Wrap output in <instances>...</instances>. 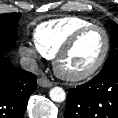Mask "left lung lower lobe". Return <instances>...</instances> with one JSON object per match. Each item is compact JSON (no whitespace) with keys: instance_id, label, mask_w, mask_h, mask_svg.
Listing matches in <instances>:
<instances>
[{"instance_id":"1","label":"left lung lower lobe","mask_w":118,"mask_h":118,"mask_svg":"<svg viewBox=\"0 0 118 118\" xmlns=\"http://www.w3.org/2000/svg\"><path fill=\"white\" fill-rule=\"evenodd\" d=\"M64 118H118V66L69 89Z\"/></svg>"}]
</instances>
